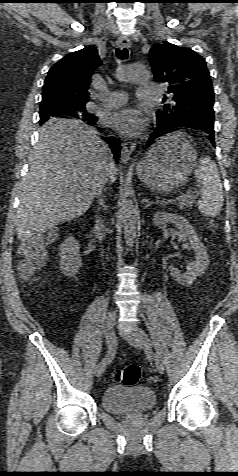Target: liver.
Here are the masks:
<instances>
[{
  "instance_id": "liver-1",
  "label": "liver",
  "mask_w": 238,
  "mask_h": 476,
  "mask_svg": "<svg viewBox=\"0 0 238 476\" xmlns=\"http://www.w3.org/2000/svg\"><path fill=\"white\" fill-rule=\"evenodd\" d=\"M97 131L81 120L51 119L28 157L16 219L17 238L34 239L83 215L105 181L109 151ZM117 178L114 166L108 174Z\"/></svg>"
}]
</instances>
